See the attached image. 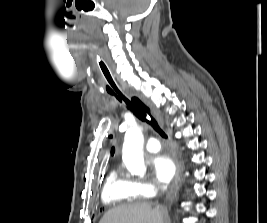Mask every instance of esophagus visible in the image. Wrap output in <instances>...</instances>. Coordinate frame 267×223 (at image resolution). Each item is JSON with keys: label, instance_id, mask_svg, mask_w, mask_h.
<instances>
[{"label": "esophagus", "instance_id": "34e87169", "mask_svg": "<svg viewBox=\"0 0 267 223\" xmlns=\"http://www.w3.org/2000/svg\"><path fill=\"white\" fill-rule=\"evenodd\" d=\"M153 111V114L155 116V118L157 119V121L159 122V124L161 125V127H163V122L161 121V119L159 118V115L154 111ZM177 183V177L175 179V182L171 185L166 197H165V201L169 200L170 197L173 195L174 191H175V185Z\"/></svg>", "mask_w": 267, "mask_h": 223}]
</instances>
